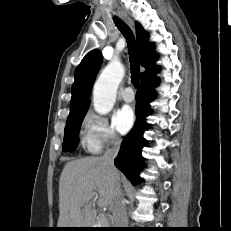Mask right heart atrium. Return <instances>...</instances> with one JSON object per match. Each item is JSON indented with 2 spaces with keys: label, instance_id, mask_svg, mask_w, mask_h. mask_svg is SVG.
<instances>
[{
  "label": "right heart atrium",
  "instance_id": "right-heart-atrium-1",
  "mask_svg": "<svg viewBox=\"0 0 231 231\" xmlns=\"http://www.w3.org/2000/svg\"><path fill=\"white\" fill-rule=\"evenodd\" d=\"M83 128L89 140V149L92 152H101L120 142V136L110 120L92 111L85 115Z\"/></svg>",
  "mask_w": 231,
  "mask_h": 231
}]
</instances>
